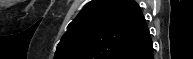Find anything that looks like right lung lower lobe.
Returning <instances> with one entry per match:
<instances>
[{
  "label": "right lung lower lobe",
  "instance_id": "obj_1",
  "mask_svg": "<svg viewBox=\"0 0 193 59\" xmlns=\"http://www.w3.org/2000/svg\"><path fill=\"white\" fill-rule=\"evenodd\" d=\"M126 59H154L152 40L133 54L126 57Z\"/></svg>",
  "mask_w": 193,
  "mask_h": 59
}]
</instances>
